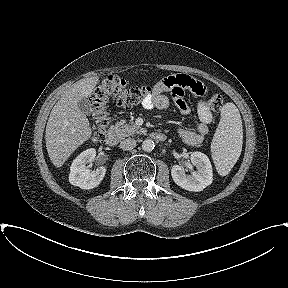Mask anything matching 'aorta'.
<instances>
[{"mask_svg": "<svg viewBox=\"0 0 288 288\" xmlns=\"http://www.w3.org/2000/svg\"><path fill=\"white\" fill-rule=\"evenodd\" d=\"M155 147V142L151 139H146L142 143V149L146 152H151Z\"/></svg>", "mask_w": 288, "mask_h": 288, "instance_id": "aorta-1", "label": "aorta"}]
</instances>
